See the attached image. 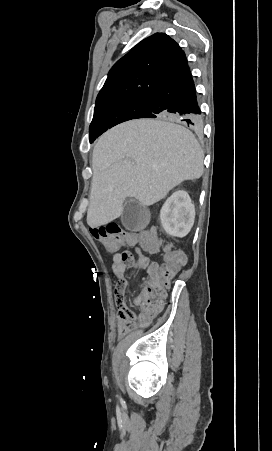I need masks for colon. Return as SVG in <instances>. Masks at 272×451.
<instances>
[{"label":"colon","instance_id":"colon-1","mask_svg":"<svg viewBox=\"0 0 272 451\" xmlns=\"http://www.w3.org/2000/svg\"><path fill=\"white\" fill-rule=\"evenodd\" d=\"M93 237L103 244L107 250H125L128 246L129 237L126 235L125 229L118 224H105L91 229ZM133 244H139L149 249L151 256H158L160 249H165L164 258L166 262L163 265H157L155 269H151L148 280H134L131 286L134 289H141V294H136V303H140L141 310H156L162 303H168L169 296L166 289L170 287L173 271H184L186 260V251H182L180 247H169L167 240H161L157 230H149L144 235H133L131 237ZM130 246V245H129ZM119 258V259H118ZM118 258L111 261L114 270L134 269L136 267H147V258H137L129 251H121ZM151 266H155L157 261L151 259ZM135 312L127 310L121 313L122 325L121 333L124 334L131 327V320L134 318ZM145 324H142L144 327Z\"/></svg>","mask_w":272,"mask_h":451}]
</instances>
